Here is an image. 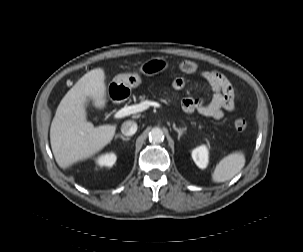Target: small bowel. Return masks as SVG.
<instances>
[{
	"label": "small bowel",
	"mask_w": 303,
	"mask_h": 252,
	"mask_svg": "<svg viewBox=\"0 0 303 252\" xmlns=\"http://www.w3.org/2000/svg\"><path fill=\"white\" fill-rule=\"evenodd\" d=\"M201 77L209 86L212 97L208 102L200 98H184L182 109L186 113L197 112L202 116L220 119L225 112H231L235 107V100L238 96L236 87L225 76L215 71L205 70ZM187 81L178 77L172 82L175 90H182L186 87Z\"/></svg>",
	"instance_id": "c3829d8e"
}]
</instances>
